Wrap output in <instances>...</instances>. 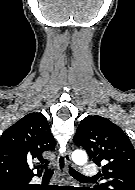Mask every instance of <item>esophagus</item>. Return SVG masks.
Returning <instances> with one entry per match:
<instances>
[{
  "label": "esophagus",
  "mask_w": 135,
  "mask_h": 190,
  "mask_svg": "<svg viewBox=\"0 0 135 190\" xmlns=\"http://www.w3.org/2000/svg\"><path fill=\"white\" fill-rule=\"evenodd\" d=\"M57 162H58L59 177L61 182L68 183L67 170H68V165L71 164L70 151L68 150L67 152L59 155L57 158Z\"/></svg>",
  "instance_id": "34e87169"
}]
</instances>
